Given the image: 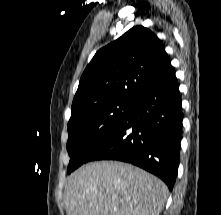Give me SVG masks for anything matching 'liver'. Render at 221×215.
<instances>
[{
  "label": "liver",
  "mask_w": 221,
  "mask_h": 215,
  "mask_svg": "<svg viewBox=\"0 0 221 215\" xmlns=\"http://www.w3.org/2000/svg\"><path fill=\"white\" fill-rule=\"evenodd\" d=\"M165 183L130 164L88 163L67 179V215H159L168 196Z\"/></svg>",
  "instance_id": "1"
}]
</instances>
